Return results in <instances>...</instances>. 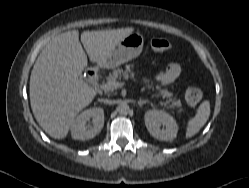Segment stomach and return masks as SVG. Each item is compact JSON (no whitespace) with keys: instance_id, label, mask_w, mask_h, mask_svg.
<instances>
[{"instance_id":"0dacf381","label":"stomach","mask_w":249,"mask_h":188,"mask_svg":"<svg viewBox=\"0 0 249 188\" xmlns=\"http://www.w3.org/2000/svg\"><path fill=\"white\" fill-rule=\"evenodd\" d=\"M144 38L140 33H131L121 39L98 63L101 68L113 69L140 55Z\"/></svg>"}]
</instances>
